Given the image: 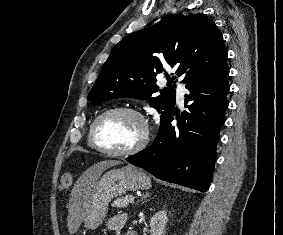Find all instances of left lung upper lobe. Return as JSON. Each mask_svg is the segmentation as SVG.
Instances as JSON below:
<instances>
[{"label": "left lung upper lobe", "instance_id": "1", "mask_svg": "<svg viewBox=\"0 0 283 235\" xmlns=\"http://www.w3.org/2000/svg\"><path fill=\"white\" fill-rule=\"evenodd\" d=\"M228 58L223 36L215 23L203 14H171L146 29L121 40L93 85L88 100L99 103L113 98L149 100L161 113V124L175 106V77H168V88L159 89L156 75L168 63L183 76L193 78L221 65ZM169 88H171L169 90ZM162 94L156 96L157 92Z\"/></svg>", "mask_w": 283, "mask_h": 235}]
</instances>
